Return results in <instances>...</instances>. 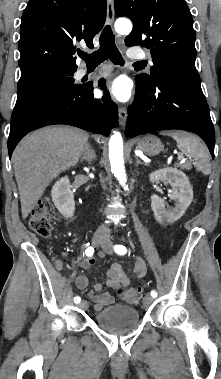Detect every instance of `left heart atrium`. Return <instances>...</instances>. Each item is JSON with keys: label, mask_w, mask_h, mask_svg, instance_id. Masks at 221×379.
<instances>
[{"label": "left heart atrium", "mask_w": 221, "mask_h": 379, "mask_svg": "<svg viewBox=\"0 0 221 379\" xmlns=\"http://www.w3.org/2000/svg\"><path fill=\"white\" fill-rule=\"evenodd\" d=\"M108 92L114 99L121 102L127 101L131 95L130 85L123 78H118L111 82L108 86Z\"/></svg>", "instance_id": "39dd6f15"}]
</instances>
